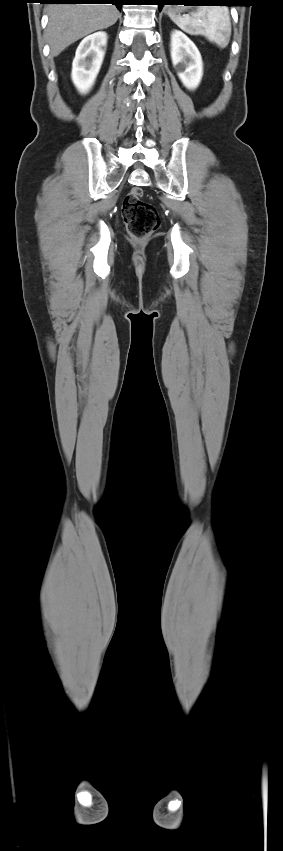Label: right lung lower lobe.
Wrapping results in <instances>:
<instances>
[{
  "label": "right lung lower lobe",
  "instance_id": "1",
  "mask_svg": "<svg viewBox=\"0 0 283 851\" xmlns=\"http://www.w3.org/2000/svg\"><path fill=\"white\" fill-rule=\"evenodd\" d=\"M125 0H46V4H114L120 10Z\"/></svg>",
  "mask_w": 283,
  "mask_h": 851
}]
</instances>
